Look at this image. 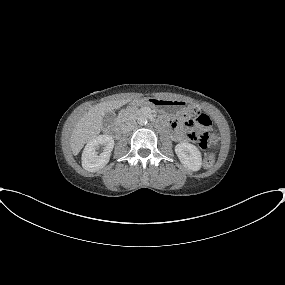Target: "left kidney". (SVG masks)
<instances>
[{
    "mask_svg": "<svg viewBox=\"0 0 285 285\" xmlns=\"http://www.w3.org/2000/svg\"><path fill=\"white\" fill-rule=\"evenodd\" d=\"M175 153L180 162L189 170L198 171L202 165V156L199 149L190 143H179L175 146Z\"/></svg>",
    "mask_w": 285,
    "mask_h": 285,
    "instance_id": "left-kidney-1",
    "label": "left kidney"
}]
</instances>
